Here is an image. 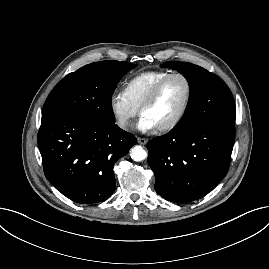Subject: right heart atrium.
I'll return each mask as SVG.
<instances>
[{
  "instance_id": "obj_1",
  "label": "right heart atrium",
  "mask_w": 269,
  "mask_h": 269,
  "mask_svg": "<svg viewBox=\"0 0 269 269\" xmlns=\"http://www.w3.org/2000/svg\"><path fill=\"white\" fill-rule=\"evenodd\" d=\"M109 108L116 125L126 131L131 127L138 109L129 101L124 91L115 90L109 98Z\"/></svg>"
}]
</instances>
